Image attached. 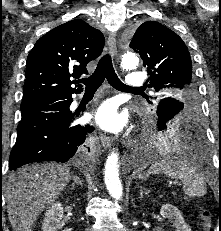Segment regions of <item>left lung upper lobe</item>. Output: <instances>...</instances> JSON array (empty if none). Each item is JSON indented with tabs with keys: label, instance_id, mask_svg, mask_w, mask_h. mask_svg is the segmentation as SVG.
Here are the masks:
<instances>
[{
	"label": "left lung upper lobe",
	"instance_id": "1",
	"mask_svg": "<svg viewBox=\"0 0 221 231\" xmlns=\"http://www.w3.org/2000/svg\"><path fill=\"white\" fill-rule=\"evenodd\" d=\"M130 47L140 54L150 75L149 87L160 92L156 106L158 120L174 117L183 107L197 101L196 79L188 48L183 40L164 25L147 21L136 30ZM170 98V101L162 102Z\"/></svg>",
	"mask_w": 221,
	"mask_h": 231
}]
</instances>
